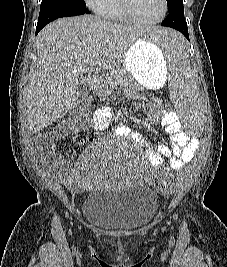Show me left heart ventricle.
Here are the masks:
<instances>
[{
  "label": "left heart ventricle",
  "instance_id": "obj_1",
  "mask_svg": "<svg viewBox=\"0 0 227 267\" xmlns=\"http://www.w3.org/2000/svg\"><path fill=\"white\" fill-rule=\"evenodd\" d=\"M135 14L143 20L157 19L163 10L162 0H131Z\"/></svg>",
  "mask_w": 227,
  "mask_h": 267
}]
</instances>
